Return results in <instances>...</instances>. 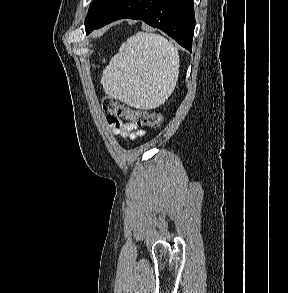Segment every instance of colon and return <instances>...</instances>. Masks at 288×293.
Listing matches in <instances>:
<instances>
[{
    "mask_svg": "<svg viewBox=\"0 0 288 293\" xmlns=\"http://www.w3.org/2000/svg\"><path fill=\"white\" fill-rule=\"evenodd\" d=\"M103 108L110 112V115L117 119H127L135 124L138 128L141 127H159L163 117L159 111H143L133 110L123 106L111 96H105L102 101Z\"/></svg>",
    "mask_w": 288,
    "mask_h": 293,
    "instance_id": "colon-1",
    "label": "colon"
}]
</instances>
